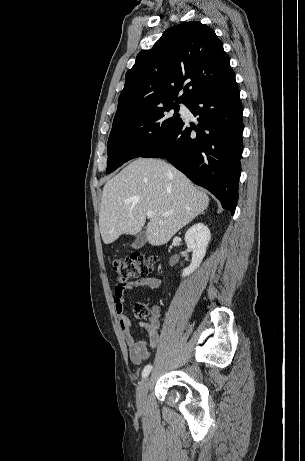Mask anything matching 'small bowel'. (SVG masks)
<instances>
[{
  "label": "small bowel",
  "mask_w": 305,
  "mask_h": 461,
  "mask_svg": "<svg viewBox=\"0 0 305 461\" xmlns=\"http://www.w3.org/2000/svg\"><path fill=\"white\" fill-rule=\"evenodd\" d=\"M159 285L160 280L158 278L143 277L125 284H118L114 289L113 301L119 327L128 345L130 360L135 365H141L145 360L149 359V348L155 349L157 346L160 309L157 306L153 307L151 316L145 326L146 339L137 340L132 332L130 321L125 315L126 293L138 288L157 289Z\"/></svg>",
  "instance_id": "1"
}]
</instances>
